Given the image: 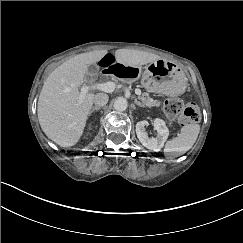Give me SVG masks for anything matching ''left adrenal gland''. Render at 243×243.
Wrapping results in <instances>:
<instances>
[{"label": "left adrenal gland", "mask_w": 243, "mask_h": 243, "mask_svg": "<svg viewBox=\"0 0 243 243\" xmlns=\"http://www.w3.org/2000/svg\"><path fill=\"white\" fill-rule=\"evenodd\" d=\"M134 103L140 107H145L144 104H142L140 101H138L137 99L134 100Z\"/></svg>", "instance_id": "a2214340"}]
</instances>
